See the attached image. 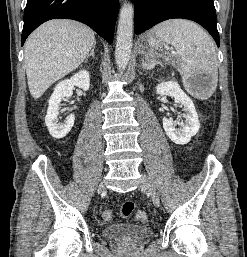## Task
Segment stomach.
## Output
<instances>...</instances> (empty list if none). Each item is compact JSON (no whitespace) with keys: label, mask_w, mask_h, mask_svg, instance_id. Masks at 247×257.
Segmentation results:
<instances>
[{"label":"stomach","mask_w":247,"mask_h":257,"mask_svg":"<svg viewBox=\"0 0 247 257\" xmlns=\"http://www.w3.org/2000/svg\"><path fill=\"white\" fill-rule=\"evenodd\" d=\"M150 34H151V31L148 33V37H149ZM144 56H145V60L147 61V60H153L155 57L163 56V55L158 54L153 49H148V51L145 52ZM163 57L165 59H167V57H165V56H163Z\"/></svg>","instance_id":"0dacf381"}]
</instances>
